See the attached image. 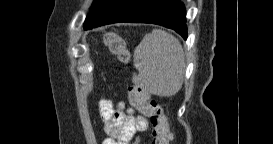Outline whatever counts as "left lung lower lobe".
Masks as SVG:
<instances>
[{
    "instance_id": "0a47b994",
    "label": "left lung lower lobe",
    "mask_w": 273,
    "mask_h": 144,
    "mask_svg": "<svg viewBox=\"0 0 273 144\" xmlns=\"http://www.w3.org/2000/svg\"><path fill=\"white\" fill-rule=\"evenodd\" d=\"M185 6L179 0H94L84 29L116 22L153 23L187 39Z\"/></svg>"
}]
</instances>
